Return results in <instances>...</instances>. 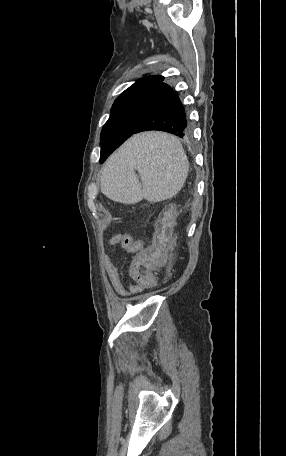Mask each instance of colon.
<instances>
[{"instance_id": "1", "label": "colon", "mask_w": 286, "mask_h": 456, "mask_svg": "<svg viewBox=\"0 0 286 456\" xmlns=\"http://www.w3.org/2000/svg\"><path fill=\"white\" fill-rule=\"evenodd\" d=\"M169 249V236L164 224L159 221L155 228L152 245L137 248L131 268L130 276L139 290L154 287L158 278L156 271L162 269L167 263Z\"/></svg>"}]
</instances>
